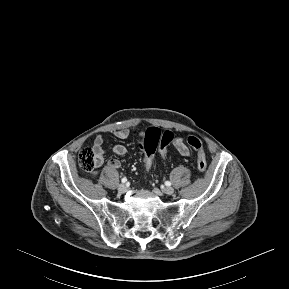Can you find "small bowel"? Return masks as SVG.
Listing matches in <instances>:
<instances>
[{
	"instance_id": "small-bowel-1",
	"label": "small bowel",
	"mask_w": 289,
	"mask_h": 289,
	"mask_svg": "<svg viewBox=\"0 0 289 289\" xmlns=\"http://www.w3.org/2000/svg\"><path fill=\"white\" fill-rule=\"evenodd\" d=\"M115 137L121 140H124L128 138L129 136V131L127 130H118L114 133ZM144 136V132H138L137 137L142 138ZM173 145L175 149L178 151V153L184 157H189L190 156V150L187 147V145L184 143L182 138H176L173 141ZM94 151L97 153L98 158H99V164H103L104 162V140L102 136H97L94 140ZM112 151L114 154L118 156H124L127 153V148L123 144H116L113 146ZM108 166L113 168V169H119L121 168V162L118 159H110L108 161Z\"/></svg>"
}]
</instances>
